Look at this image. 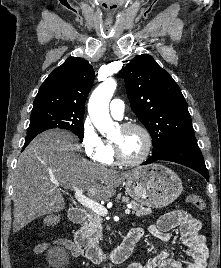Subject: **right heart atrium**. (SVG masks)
<instances>
[{
    "label": "right heart atrium",
    "instance_id": "right-heart-atrium-1",
    "mask_svg": "<svg viewBox=\"0 0 221 268\" xmlns=\"http://www.w3.org/2000/svg\"><path fill=\"white\" fill-rule=\"evenodd\" d=\"M81 144L85 155L92 161L102 162L107 153V144L93 125L89 117L82 123Z\"/></svg>",
    "mask_w": 221,
    "mask_h": 268
}]
</instances>
